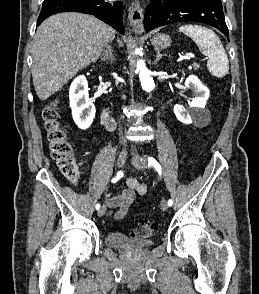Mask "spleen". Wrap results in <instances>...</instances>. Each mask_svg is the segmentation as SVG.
Returning a JSON list of instances; mask_svg holds the SVG:
<instances>
[{
    "mask_svg": "<svg viewBox=\"0 0 259 294\" xmlns=\"http://www.w3.org/2000/svg\"><path fill=\"white\" fill-rule=\"evenodd\" d=\"M179 31L189 36L201 53L208 56L207 68L217 77H224L229 71V61L219 37L209 28L197 25H183Z\"/></svg>",
    "mask_w": 259,
    "mask_h": 294,
    "instance_id": "obj_1",
    "label": "spleen"
}]
</instances>
